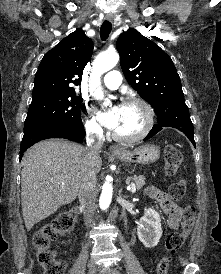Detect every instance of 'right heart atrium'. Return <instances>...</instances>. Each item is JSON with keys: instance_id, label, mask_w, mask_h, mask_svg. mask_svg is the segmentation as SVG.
<instances>
[{"instance_id": "obj_1", "label": "right heart atrium", "mask_w": 221, "mask_h": 274, "mask_svg": "<svg viewBox=\"0 0 221 274\" xmlns=\"http://www.w3.org/2000/svg\"><path fill=\"white\" fill-rule=\"evenodd\" d=\"M85 130L89 135L94 137H99L103 133L102 127L95 117H88L86 119Z\"/></svg>"}]
</instances>
